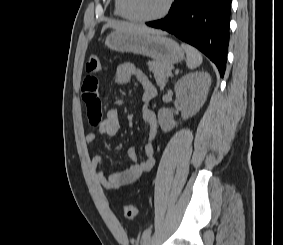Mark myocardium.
I'll list each match as a JSON object with an SVG mask.
<instances>
[{"label":"myocardium","instance_id":"1","mask_svg":"<svg viewBox=\"0 0 283 245\" xmlns=\"http://www.w3.org/2000/svg\"><path fill=\"white\" fill-rule=\"evenodd\" d=\"M174 1L175 0H167L162 11L158 13L157 15H154L151 17H141V16L135 15L131 10L130 0H123V6H124V10L126 14L131 20L147 23V22H153V21H157V20L164 18L170 12L174 4Z\"/></svg>","mask_w":283,"mask_h":245}]
</instances>
